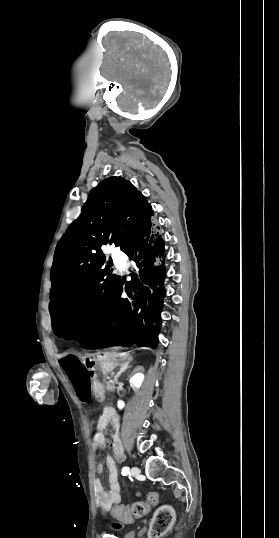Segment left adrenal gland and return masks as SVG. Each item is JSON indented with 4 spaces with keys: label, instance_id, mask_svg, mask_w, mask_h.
<instances>
[{
    "label": "left adrenal gland",
    "instance_id": "a2214340",
    "mask_svg": "<svg viewBox=\"0 0 279 538\" xmlns=\"http://www.w3.org/2000/svg\"><path fill=\"white\" fill-rule=\"evenodd\" d=\"M130 362H132V358H129V362H125V364H123L122 368H120V372H118V374H116L114 380H117V378H120L121 374H123V372H126V370H128V368H131V366H129Z\"/></svg>",
    "mask_w": 279,
    "mask_h": 538
}]
</instances>
